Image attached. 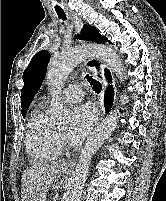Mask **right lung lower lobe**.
Listing matches in <instances>:
<instances>
[{"mask_svg":"<svg viewBox=\"0 0 166 201\" xmlns=\"http://www.w3.org/2000/svg\"><path fill=\"white\" fill-rule=\"evenodd\" d=\"M106 76H107V79L110 80V73L107 70H106ZM112 101H113V90L112 88H108L104 96V104H105L106 112H109L112 106Z\"/></svg>","mask_w":166,"mask_h":201,"instance_id":"obj_1","label":"right lung lower lobe"}]
</instances>
